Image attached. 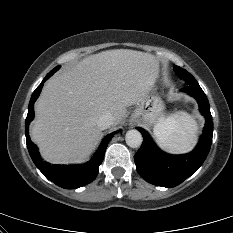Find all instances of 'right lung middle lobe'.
I'll use <instances>...</instances> for the list:
<instances>
[{
    "label": "right lung middle lobe",
    "instance_id": "1",
    "mask_svg": "<svg viewBox=\"0 0 233 233\" xmlns=\"http://www.w3.org/2000/svg\"><path fill=\"white\" fill-rule=\"evenodd\" d=\"M59 67L60 66L55 67L53 70H51V72H53V73L56 72L59 69Z\"/></svg>",
    "mask_w": 233,
    "mask_h": 233
}]
</instances>
